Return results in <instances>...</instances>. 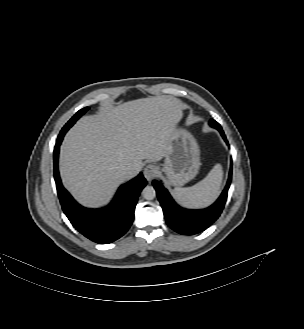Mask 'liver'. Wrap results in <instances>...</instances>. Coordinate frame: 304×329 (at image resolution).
<instances>
[{
	"label": "liver",
	"mask_w": 304,
	"mask_h": 329,
	"mask_svg": "<svg viewBox=\"0 0 304 329\" xmlns=\"http://www.w3.org/2000/svg\"><path fill=\"white\" fill-rule=\"evenodd\" d=\"M182 110L178 99L157 96L108 105L82 117L61 145L64 186L85 206L106 204L120 183L139 172L143 159L166 156ZM122 165H130L132 172L121 175Z\"/></svg>",
	"instance_id": "obj_1"
}]
</instances>
